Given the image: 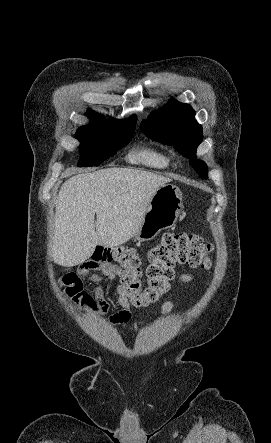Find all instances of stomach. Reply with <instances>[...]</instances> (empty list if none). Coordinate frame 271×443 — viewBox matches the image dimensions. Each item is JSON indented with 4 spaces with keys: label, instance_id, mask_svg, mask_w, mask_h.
<instances>
[{
    "label": "stomach",
    "instance_id": "0dacf381",
    "mask_svg": "<svg viewBox=\"0 0 271 443\" xmlns=\"http://www.w3.org/2000/svg\"><path fill=\"white\" fill-rule=\"evenodd\" d=\"M183 208L182 194L177 186L164 184L153 194L147 212L138 225L133 237L138 241H149L162 229L173 227Z\"/></svg>",
    "mask_w": 271,
    "mask_h": 443
}]
</instances>
